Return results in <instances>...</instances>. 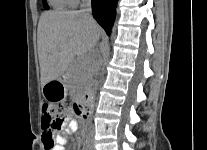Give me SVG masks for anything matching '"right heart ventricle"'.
<instances>
[{"mask_svg":"<svg viewBox=\"0 0 207 150\" xmlns=\"http://www.w3.org/2000/svg\"><path fill=\"white\" fill-rule=\"evenodd\" d=\"M51 5L57 9L72 7L76 4V0H49Z\"/></svg>","mask_w":207,"mask_h":150,"instance_id":"1","label":"right heart ventricle"}]
</instances>
